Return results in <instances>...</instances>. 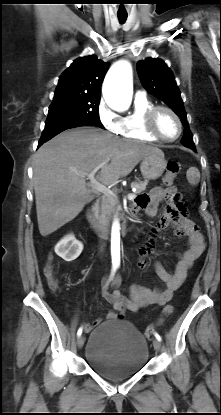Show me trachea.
<instances>
[{
    "mask_svg": "<svg viewBox=\"0 0 221 415\" xmlns=\"http://www.w3.org/2000/svg\"><path fill=\"white\" fill-rule=\"evenodd\" d=\"M127 19V15H118V20L121 24H123Z\"/></svg>",
    "mask_w": 221,
    "mask_h": 415,
    "instance_id": "trachea-1",
    "label": "trachea"
}]
</instances>
